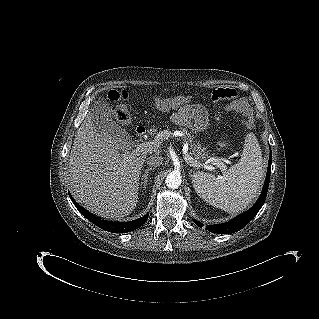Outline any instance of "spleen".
Listing matches in <instances>:
<instances>
[{
  "label": "spleen",
  "instance_id": "obj_1",
  "mask_svg": "<svg viewBox=\"0 0 319 319\" xmlns=\"http://www.w3.org/2000/svg\"><path fill=\"white\" fill-rule=\"evenodd\" d=\"M262 162L257 138L249 133L238 163L224 172L223 176L194 173L193 187L208 204L228 213L239 212L248 207L258 195L264 177Z\"/></svg>",
  "mask_w": 319,
  "mask_h": 319
}]
</instances>
